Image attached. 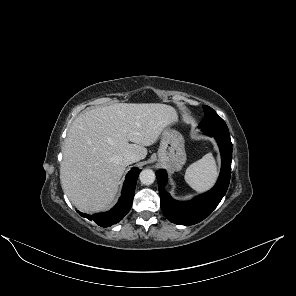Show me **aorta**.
Segmentation results:
<instances>
[{
    "label": "aorta",
    "instance_id": "aorta-1",
    "mask_svg": "<svg viewBox=\"0 0 296 296\" xmlns=\"http://www.w3.org/2000/svg\"><path fill=\"white\" fill-rule=\"evenodd\" d=\"M140 181L142 184L144 185H151L154 181H155V173L153 172V170L151 169H144L141 173H140Z\"/></svg>",
    "mask_w": 296,
    "mask_h": 296
}]
</instances>
